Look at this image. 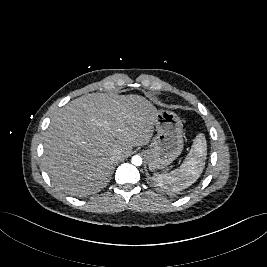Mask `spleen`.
<instances>
[{"label": "spleen", "instance_id": "spleen-1", "mask_svg": "<svg viewBox=\"0 0 267 267\" xmlns=\"http://www.w3.org/2000/svg\"><path fill=\"white\" fill-rule=\"evenodd\" d=\"M207 156V144L203 134H198L192 148L180 168L169 173L156 174L158 186L169 191H180L191 186L201 175Z\"/></svg>", "mask_w": 267, "mask_h": 267}]
</instances>
